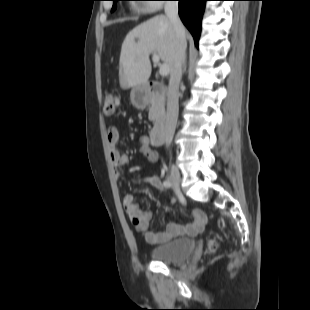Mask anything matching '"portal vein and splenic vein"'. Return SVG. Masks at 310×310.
<instances>
[{
  "mask_svg": "<svg viewBox=\"0 0 310 310\" xmlns=\"http://www.w3.org/2000/svg\"><path fill=\"white\" fill-rule=\"evenodd\" d=\"M152 59H153V62H154L155 64H158L159 61H160V57H159V55L156 54V53L153 54ZM159 74H160L161 76H167V75L169 74V67H168V65H166V64L161 65V66H160V69H159Z\"/></svg>",
  "mask_w": 310,
  "mask_h": 310,
  "instance_id": "obj_1",
  "label": "portal vein and splenic vein"
}]
</instances>
